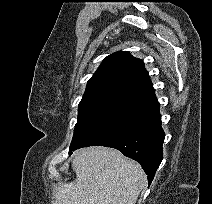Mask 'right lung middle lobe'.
<instances>
[{
	"instance_id": "1",
	"label": "right lung middle lobe",
	"mask_w": 212,
	"mask_h": 204,
	"mask_svg": "<svg viewBox=\"0 0 212 204\" xmlns=\"http://www.w3.org/2000/svg\"><path fill=\"white\" fill-rule=\"evenodd\" d=\"M145 105L100 99L79 104L70 150L96 144L128 124Z\"/></svg>"
}]
</instances>
